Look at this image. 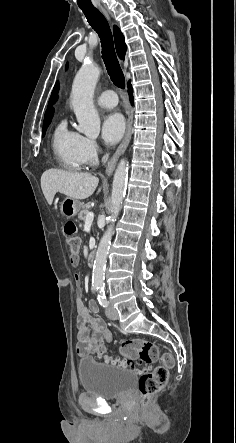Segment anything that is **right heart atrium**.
<instances>
[{
    "label": "right heart atrium",
    "mask_w": 236,
    "mask_h": 443,
    "mask_svg": "<svg viewBox=\"0 0 236 443\" xmlns=\"http://www.w3.org/2000/svg\"><path fill=\"white\" fill-rule=\"evenodd\" d=\"M80 153L84 164L93 165L96 162L98 155V145L96 141L91 138L83 137Z\"/></svg>",
    "instance_id": "d8ad5b80"
}]
</instances>
